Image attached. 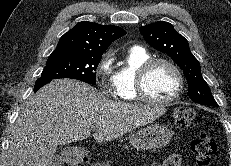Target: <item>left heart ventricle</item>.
Masks as SVG:
<instances>
[{"instance_id": "obj_1", "label": "left heart ventricle", "mask_w": 231, "mask_h": 166, "mask_svg": "<svg viewBox=\"0 0 231 166\" xmlns=\"http://www.w3.org/2000/svg\"><path fill=\"white\" fill-rule=\"evenodd\" d=\"M177 78L173 70L165 64L155 65L146 78V89L155 99H167L177 89Z\"/></svg>"}]
</instances>
